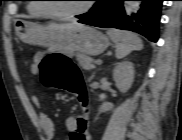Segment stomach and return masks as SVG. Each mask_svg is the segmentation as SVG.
Segmentation results:
<instances>
[{"mask_svg":"<svg viewBox=\"0 0 182 140\" xmlns=\"http://www.w3.org/2000/svg\"><path fill=\"white\" fill-rule=\"evenodd\" d=\"M17 37L29 44L48 47L51 51L71 56L75 51L87 55H99L109 46L106 35L94 27L74 29H47L37 23L18 20L15 23Z\"/></svg>","mask_w":182,"mask_h":140,"instance_id":"stomach-1","label":"stomach"}]
</instances>
